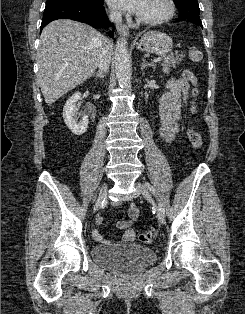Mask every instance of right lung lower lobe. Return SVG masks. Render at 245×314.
I'll use <instances>...</instances> for the list:
<instances>
[{"label":"right lung lower lobe","instance_id":"right-lung-lower-lobe-1","mask_svg":"<svg viewBox=\"0 0 245 314\" xmlns=\"http://www.w3.org/2000/svg\"><path fill=\"white\" fill-rule=\"evenodd\" d=\"M65 18L87 23L94 28L113 26L106 16L103 0L97 4L60 0L46 3L40 30L54 20ZM109 36H113V31L109 32Z\"/></svg>","mask_w":245,"mask_h":314}]
</instances>
